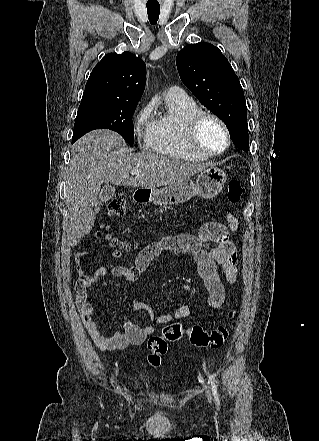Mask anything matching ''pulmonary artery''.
<instances>
[{
	"mask_svg": "<svg viewBox=\"0 0 319 441\" xmlns=\"http://www.w3.org/2000/svg\"><path fill=\"white\" fill-rule=\"evenodd\" d=\"M166 95L168 98H172V99H185L188 97L185 91L178 86L170 87Z\"/></svg>",
	"mask_w": 319,
	"mask_h": 441,
	"instance_id": "e3ab8cb5",
	"label": "pulmonary artery"
}]
</instances>
